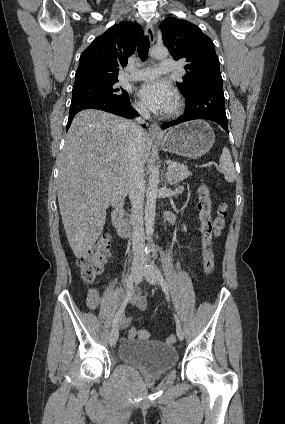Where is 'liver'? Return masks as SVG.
Returning a JSON list of instances; mask_svg holds the SVG:
<instances>
[{"instance_id": "obj_1", "label": "liver", "mask_w": 285, "mask_h": 424, "mask_svg": "<svg viewBox=\"0 0 285 424\" xmlns=\"http://www.w3.org/2000/svg\"><path fill=\"white\" fill-rule=\"evenodd\" d=\"M130 124L111 113L87 109L74 117L66 135L59 156L57 195L65 233L77 257L86 254L101 235L107 208L127 196ZM151 145V137L144 132L143 167Z\"/></svg>"}]
</instances>
